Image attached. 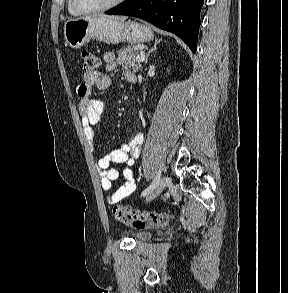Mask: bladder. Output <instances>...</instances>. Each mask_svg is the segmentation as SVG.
I'll return each mask as SVG.
<instances>
[{
  "instance_id": "bladder-1",
  "label": "bladder",
  "mask_w": 288,
  "mask_h": 293,
  "mask_svg": "<svg viewBox=\"0 0 288 293\" xmlns=\"http://www.w3.org/2000/svg\"><path fill=\"white\" fill-rule=\"evenodd\" d=\"M152 236L153 233L148 230H138L132 233V237L138 242L149 240Z\"/></svg>"
}]
</instances>
